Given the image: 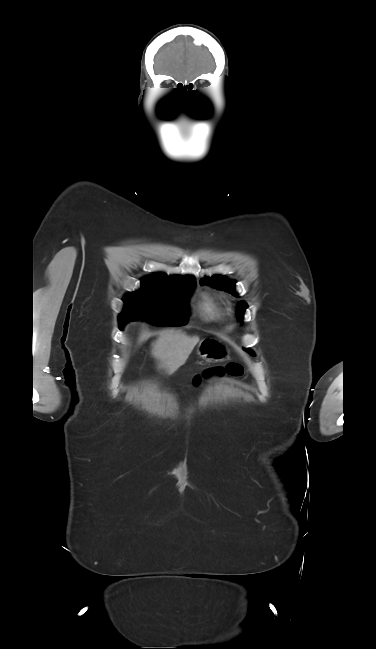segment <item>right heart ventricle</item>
I'll use <instances>...</instances> for the list:
<instances>
[{
  "label": "right heart ventricle",
  "mask_w": 376,
  "mask_h": 649,
  "mask_svg": "<svg viewBox=\"0 0 376 649\" xmlns=\"http://www.w3.org/2000/svg\"><path fill=\"white\" fill-rule=\"evenodd\" d=\"M202 309L204 313L209 317H219L221 315L222 309L221 306L215 301V299L209 295H204L202 297Z\"/></svg>",
  "instance_id": "1"
}]
</instances>
